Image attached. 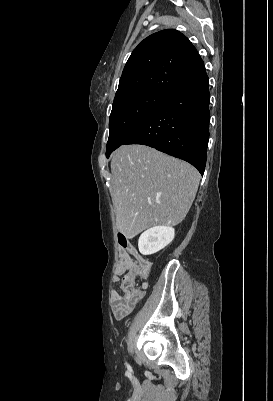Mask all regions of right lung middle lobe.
Instances as JSON below:
<instances>
[{
    "label": "right lung middle lobe",
    "instance_id": "1",
    "mask_svg": "<svg viewBox=\"0 0 273 401\" xmlns=\"http://www.w3.org/2000/svg\"><path fill=\"white\" fill-rule=\"evenodd\" d=\"M165 96L164 93L144 91L114 100L109 120L107 158L157 108Z\"/></svg>",
    "mask_w": 273,
    "mask_h": 401
}]
</instances>
